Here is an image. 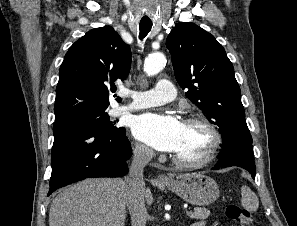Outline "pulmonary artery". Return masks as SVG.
I'll list each match as a JSON object with an SVG mask.
<instances>
[{
  "label": "pulmonary artery",
  "instance_id": "1",
  "mask_svg": "<svg viewBox=\"0 0 297 226\" xmlns=\"http://www.w3.org/2000/svg\"><path fill=\"white\" fill-rule=\"evenodd\" d=\"M123 95L131 96L132 103L119 107L117 109V113L169 103L175 99L176 90L169 80L161 79L157 82L155 88L151 90L144 92L124 93Z\"/></svg>",
  "mask_w": 297,
  "mask_h": 226
}]
</instances>
